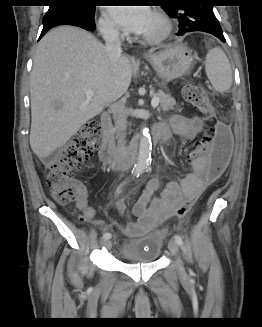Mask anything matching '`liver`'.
<instances>
[{"label": "liver", "mask_w": 262, "mask_h": 327, "mask_svg": "<svg viewBox=\"0 0 262 327\" xmlns=\"http://www.w3.org/2000/svg\"><path fill=\"white\" fill-rule=\"evenodd\" d=\"M131 78L128 57L112 63L91 33L71 26L50 31L37 47L30 78L32 151L44 160L64 146L128 90Z\"/></svg>", "instance_id": "1"}]
</instances>
